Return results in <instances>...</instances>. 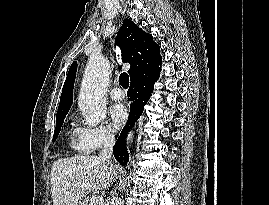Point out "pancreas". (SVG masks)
<instances>
[{
	"label": "pancreas",
	"instance_id": "cf45deb5",
	"mask_svg": "<svg viewBox=\"0 0 269 205\" xmlns=\"http://www.w3.org/2000/svg\"><path fill=\"white\" fill-rule=\"evenodd\" d=\"M86 202H87V205H93V199L92 198H87Z\"/></svg>",
	"mask_w": 269,
	"mask_h": 205
}]
</instances>
